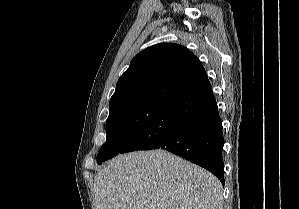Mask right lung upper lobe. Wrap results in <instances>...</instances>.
<instances>
[{"label": "right lung upper lobe", "mask_w": 299, "mask_h": 209, "mask_svg": "<svg viewBox=\"0 0 299 209\" xmlns=\"http://www.w3.org/2000/svg\"><path fill=\"white\" fill-rule=\"evenodd\" d=\"M204 72L198 58L181 45L162 43L151 46L138 53L119 78L109 109L144 101L163 103Z\"/></svg>", "instance_id": "cb5924a9"}]
</instances>
